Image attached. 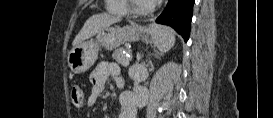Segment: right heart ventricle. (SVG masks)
<instances>
[{
    "instance_id": "right-heart-ventricle-1",
    "label": "right heart ventricle",
    "mask_w": 273,
    "mask_h": 118,
    "mask_svg": "<svg viewBox=\"0 0 273 118\" xmlns=\"http://www.w3.org/2000/svg\"><path fill=\"white\" fill-rule=\"evenodd\" d=\"M107 9L115 14L127 13V3L125 0H108Z\"/></svg>"
}]
</instances>
